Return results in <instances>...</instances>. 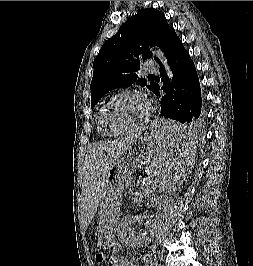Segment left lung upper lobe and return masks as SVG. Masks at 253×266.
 Segmentation results:
<instances>
[{"instance_id":"left-lung-upper-lobe-1","label":"left lung upper lobe","mask_w":253,"mask_h":266,"mask_svg":"<svg viewBox=\"0 0 253 266\" xmlns=\"http://www.w3.org/2000/svg\"><path fill=\"white\" fill-rule=\"evenodd\" d=\"M174 31L165 16L146 8L130 17L116 35L107 40L94 60L91 81V108L109 91L133 83L146 86V79H137L140 63L152 57L150 47L163 50ZM157 61V57H154ZM154 82L146 87L152 91Z\"/></svg>"}]
</instances>
